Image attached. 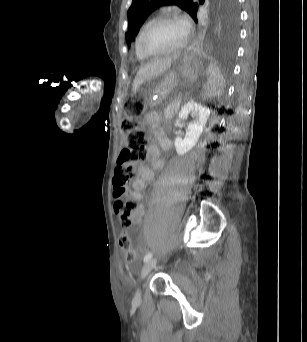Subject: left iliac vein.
<instances>
[{
  "mask_svg": "<svg viewBox=\"0 0 307 342\" xmlns=\"http://www.w3.org/2000/svg\"><path fill=\"white\" fill-rule=\"evenodd\" d=\"M157 258H151L149 259L142 268V275L141 279H144L148 273L156 266ZM135 300L140 301L141 300V293L140 290H137V293L134 297Z\"/></svg>",
  "mask_w": 307,
  "mask_h": 342,
  "instance_id": "4c4485c4",
  "label": "left iliac vein"
}]
</instances>
